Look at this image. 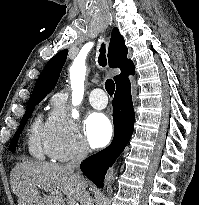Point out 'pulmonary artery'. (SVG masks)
<instances>
[{
	"instance_id": "1",
	"label": "pulmonary artery",
	"mask_w": 199,
	"mask_h": 205,
	"mask_svg": "<svg viewBox=\"0 0 199 205\" xmlns=\"http://www.w3.org/2000/svg\"><path fill=\"white\" fill-rule=\"evenodd\" d=\"M90 104L95 109H103L107 105V97L100 88L94 89L90 94Z\"/></svg>"
}]
</instances>
